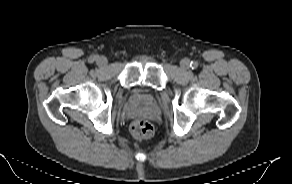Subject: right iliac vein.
<instances>
[{
    "label": "right iliac vein",
    "mask_w": 292,
    "mask_h": 184,
    "mask_svg": "<svg viewBox=\"0 0 292 184\" xmlns=\"http://www.w3.org/2000/svg\"><path fill=\"white\" fill-rule=\"evenodd\" d=\"M96 62L99 66H105L107 64V59L105 57H98Z\"/></svg>",
    "instance_id": "63e3f726"
}]
</instances>
